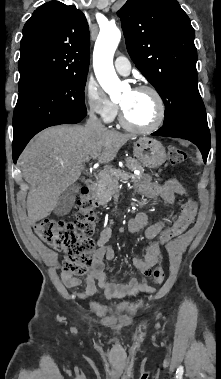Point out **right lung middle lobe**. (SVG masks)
<instances>
[{
    "label": "right lung middle lobe",
    "mask_w": 221,
    "mask_h": 379,
    "mask_svg": "<svg viewBox=\"0 0 221 379\" xmlns=\"http://www.w3.org/2000/svg\"><path fill=\"white\" fill-rule=\"evenodd\" d=\"M85 76H64L19 86L13 115V143L30 140L39 131L67 117H85Z\"/></svg>",
    "instance_id": "1"
}]
</instances>
